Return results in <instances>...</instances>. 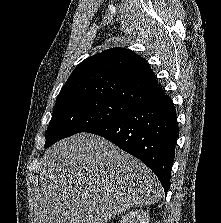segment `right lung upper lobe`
Here are the masks:
<instances>
[{"label":"right lung upper lobe","instance_id":"cb5924a9","mask_svg":"<svg viewBox=\"0 0 221 223\" xmlns=\"http://www.w3.org/2000/svg\"><path fill=\"white\" fill-rule=\"evenodd\" d=\"M162 94L144 58L125 48H113L82 61L61 89L56 103L103 97L136 105Z\"/></svg>","mask_w":221,"mask_h":223}]
</instances>
